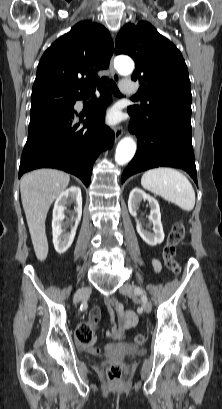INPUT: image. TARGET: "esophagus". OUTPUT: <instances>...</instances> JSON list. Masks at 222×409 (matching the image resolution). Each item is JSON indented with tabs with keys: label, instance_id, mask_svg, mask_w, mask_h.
Instances as JSON below:
<instances>
[{
	"label": "esophagus",
	"instance_id": "1",
	"mask_svg": "<svg viewBox=\"0 0 222 409\" xmlns=\"http://www.w3.org/2000/svg\"><path fill=\"white\" fill-rule=\"evenodd\" d=\"M109 70L111 72L112 78L115 82L119 81V75L118 73L115 71L114 67H113V58H111L110 60V64H109ZM114 134H115V141H118L122 134H123V127L122 126H117L114 130Z\"/></svg>",
	"mask_w": 222,
	"mask_h": 409
}]
</instances>
